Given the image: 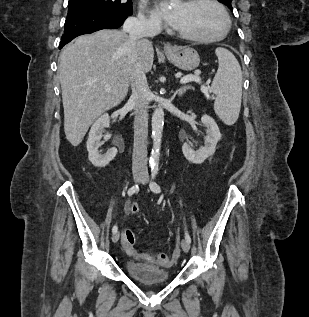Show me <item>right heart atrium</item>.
<instances>
[{
  "label": "right heart atrium",
  "instance_id": "obj_1",
  "mask_svg": "<svg viewBox=\"0 0 309 317\" xmlns=\"http://www.w3.org/2000/svg\"><path fill=\"white\" fill-rule=\"evenodd\" d=\"M139 25L149 31L158 30L161 26L160 21L153 15H147L143 11L138 14L137 17Z\"/></svg>",
  "mask_w": 309,
  "mask_h": 317
}]
</instances>
